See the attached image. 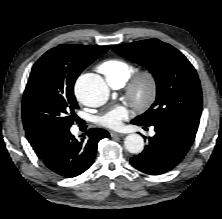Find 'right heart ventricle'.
<instances>
[{"mask_svg": "<svg viewBox=\"0 0 222 219\" xmlns=\"http://www.w3.org/2000/svg\"><path fill=\"white\" fill-rule=\"evenodd\" d=\"M98 69L105 75L107 82L121 80L125 83L134 72L133 65L121 59L106 60L98 66Z\"/></svg>", "mask_w": 222, "mask_h": 219, "instance_id": "e07e8e85", "label": "right heart ventricle"}]
</instances>
